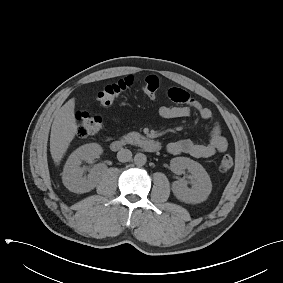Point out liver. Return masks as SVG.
I'll list each match as a JSON object with an SVG mask.
<instances>
[{"mask_svg":"<svg viewBox=\"0 0 283 283\" xmlns=\"http://www.w3.org/2000/svg\"><path fill=\"white\" fill-rule=\"evenodd\" d=\"M74 108L75 99L72 98L54 113L50 135V152L56 165L60 164L78 131Z\"/></svg>","mask_w":283,"mask_h":283,"instance_id":"obj_1","label":"liver"}]
</instances>
